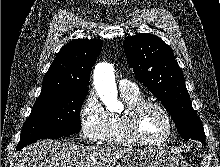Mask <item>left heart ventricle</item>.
I'll use <instances>...</instances> for the list:
<instances>
[{
    "label": "left heart ventricle",
    "mask_w": 220,
    "mask_h": 167,
    "mask_svg": "<svg viewBox=\"0 0 220 167\" xmlns=\"http://www.w3.org/2000/svg\"><path fill=\"white\" fill-rule=\"evenodd\" d=\"M167 131V120L159 109L148 107L142 112L138 122V132L144 139H160L167 134Z\"/></svg>",
    "instance_id": "b2bd125f"
}]
</instances>
